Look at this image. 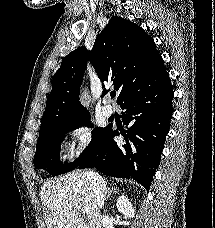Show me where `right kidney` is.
Here are the masks:
<instances>
[{"label":"right kidney","instance_id":"ca27d5eb","mask_svg":"<svg viewBox=\"0 0 215 228\" xmlns=\"http://www.w3.org/2000/svg\"><path fill=\"white\" fill-rule=\"evenodd\" d=\"M116 208L120 214H124L126 218H134L135 210H133V206L131 202H129L127 196H119L116 204Z\"/></svg>","mask_w":215,"mask_h":228}]
</instances>
